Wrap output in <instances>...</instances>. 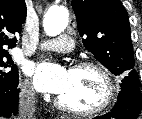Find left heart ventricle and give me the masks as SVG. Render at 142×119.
<instances>
[{"instance_id":"left-heart-ventricle-1","label":"left heart ventricle","mask_w":142,"mask_h":119,"mask_svg":"<svg viewBox=\"0 0 142 119\" xmlns=\"http://www.w3.org/2000/svg\"><path fill=\"white\" fill-rule=\"evenodd\" d=\"M104 84L94 70H70L69 81L60 99L77 109H90L100 103Z\"/></svg>"}]
</instances>
